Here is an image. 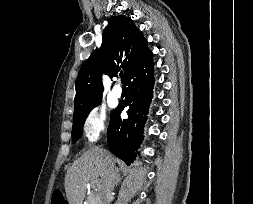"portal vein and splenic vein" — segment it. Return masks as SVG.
Masks as SVG:
<instances>
[{
    "label": "portal vein and splenic vein",
    "mask_w": 253,
    "mask_h": 204,
    "mask_svg": "<svg viewBox=\"0 0 253 204\" xmlns=\"http://www.w3.org/2000/svg\"><path fill=\"white\" fill-rule=\"evenodd\" d=\"M95 184H96L97 186H100L101 183H100V181H96Z\"/></svg>",
    "instance_id": "portal-vein-and-splenic-vein-1"
}]
</instances>
